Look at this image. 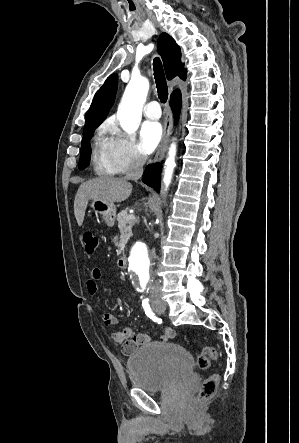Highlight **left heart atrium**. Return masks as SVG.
I'll return each mask as SVG.
<instances>
[{
  "label": "left heart atrium",
  "mask_w": 299,
  "mask_h": 443,
  "mask_svg": "<svg viewBox=\"0 0 299 443\" xmlns=\"http://www.w3.org/2000/svg\"><path fill=\"white\" fill-rule=\"evenodd\" d=\"M162 138V126L159 122L147 121L140 130V146L145 154L152 153Z\"/></svg>",
  "instance_id": "1"
}]
</instances>
